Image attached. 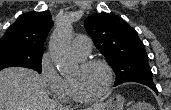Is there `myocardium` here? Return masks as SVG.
<instances>
[{
	"instance_id": "myocardium-1",
	"label": "myocardium",
	"mask_w": 171,
	"mask_h": 110,
	"mask_svg": "<svg viewBox=\"0 0 171 110\" xmlns=\"http://www.w3.org/2000/svg\"><path fill=\"white\" fill-rule=\"evenodd\" d=\"M91 66H101L107 73V83L104 89L94 96H82L76 89L74 83L68 79V86L71 98L82 104H89L103 99L111 90L114 83V73L112 67L104 60L100 59H88L80 62L79 67L82 69L89 68Z\"/></svg>"
}]
</instances>
